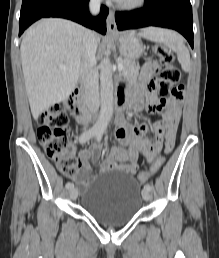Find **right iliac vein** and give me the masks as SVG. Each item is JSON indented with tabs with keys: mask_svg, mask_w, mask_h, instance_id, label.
Segmentation results:
<instances>
[{
	"mask_svg": "<svg viewBox=\"0 0 219 258\" xmlns=\"http://www.w3.org/2000/svg\"><path fill=\"white\" fill-rule=\"evenodd\" d=\"M69 196L72 200H75L78 196V191L75 187L69 189Z\"/></svg>",
	"mask_w": 219,
	"mask_h": 258,
	"instance_id": "1",
	"label": "right iliac vein"
}]
</instances>
